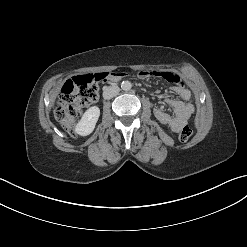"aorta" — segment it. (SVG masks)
<instances>
[{
    "mask_svg": "<svg viewBox=\"0 0 247 247\" xmlns=\"http://www.w3.org/2000/svg\"><path fill=\"white\" fill-rule=\"evenodd\" d=\"M121 88H122V90H124V91H129V90H131V88H132V84H131L130 81H123V82L121 83Z\"/></svg>",
    "mask_w": 247,
    "mask_h": 247,
    "instance_id": "obj_1",
    "label": "aorta"
}]
</instances>
